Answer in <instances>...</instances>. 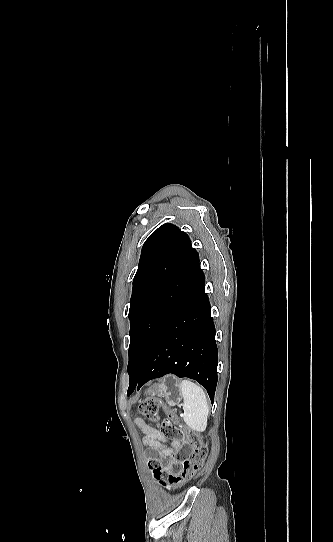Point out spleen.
Segmentation results:
<instances>
[{"instance_id":"3e777b00","label":"spleen","mask_w":333,"mask_h":542,"mask_svg":"<svg viewBox=\"0 0 333 542\" xmlns=\"http://www.w3.org/2000/svg\"><path fill=\"white\" fill-rule=\"evenodd\" d=\"M180 392L183 398V420L186 426L194 432H205L209 406L203 388L190 380H182Z\"/></svg>"}]
</instances>
